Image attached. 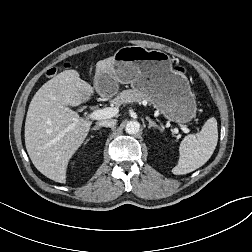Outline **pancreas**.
I'll list each match as a JSON object with an SVG mask.
<instances>
[{"mask_svg":"<svg viewBox=\"0 0 252 252\" xmlns=\"http://www.w3.org/2000/svg\"><path fill=\"white\" fill-rule=\"evenodd\" d=\"M143 101H146L143 93L134 89H129L119 93L111 102L119 107L126 102H137L138 104H141Z\"/></svg>","mask_w":252,"mask_h":252,"instance_id":"cf45deb5","label":"pancreas"}]
</instances>
